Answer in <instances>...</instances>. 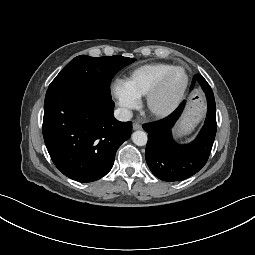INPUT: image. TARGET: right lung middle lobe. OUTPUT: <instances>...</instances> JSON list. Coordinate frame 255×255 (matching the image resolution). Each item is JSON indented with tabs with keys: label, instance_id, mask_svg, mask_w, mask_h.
<instances>
[{
	"label": "right lung middle lobe",
	"instance_id": "1",
	"mask_svg": "<svg viewBox=\"0 0 255 255\" xmlns=\"http://www.w3.org/2000/svg\"><path fill=\"white\" fill-rule=\"evenodd\" d=\"M135 59L123 56L75 57L49 85L48 89L64 86H83L96 89L111 97L110 83L115 74Z\"/></svg>",
	"mask_w": 255,
	"mask_h": 255
}]
</instances>
